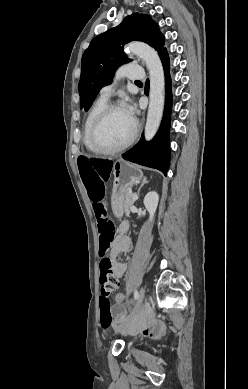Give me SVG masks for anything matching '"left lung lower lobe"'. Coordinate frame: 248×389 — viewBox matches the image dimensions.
Returning a JSON list of instances; mask_svg holds the SVG:
<instances>
[{
    "label": "left lung lower lobe",
    "mask_w": 248,
    "mask_h": 389,
    "mask_svg": "<svg viewBox=\"0 0 248 389\" xmlns=\"http://www.w3.org/2000/svg\"><path fill=\"white\" fill-rule=\"evenodd\" d=\"M159 57L162 61L165 76H166V99L164 115L161 122L160 129L156 136L150 142H145L144 136L140 141L129 151L125 152L122 157L125 160L137 163L150 168H155L161 171L165 176L170 163V115L172 109V91L171 79L169 74V57L166 48L161 50ZM149 92V80L146 81L145 93Z\"/></svg>",
    "instance_id": "left-lung-lower-lobe-1"
}]
</instances>
